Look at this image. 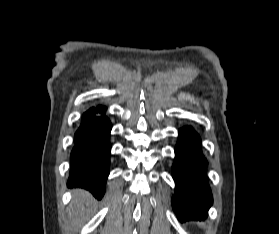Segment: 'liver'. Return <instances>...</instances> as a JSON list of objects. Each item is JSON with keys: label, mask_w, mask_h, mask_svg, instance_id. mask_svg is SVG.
<instances>
[{"label": "liver", "mask_w": 279, "mask_h": 234, "mask_svg": "<svg viewBox=\"0 0 279 234\" xmlns=\"http://www.w3.org/2000/svg\"><path fill=\"white\" fill-rule=\"evenodd\" d=\"M94 199L83 190H75L74 199L69 210V227L79 228L85 220H88L94 211Z\"/></svg>", "instance_id": "obj_1"}]
</instances>
